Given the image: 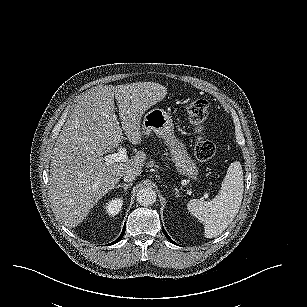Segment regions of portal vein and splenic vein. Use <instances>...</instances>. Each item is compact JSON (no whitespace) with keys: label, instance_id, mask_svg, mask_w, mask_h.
Masks as SVG:
<instances>
[{"label":"portal vein and splenic vein","instance_id":"portal-vein-and-splenic-vein-1","mask_svg":"<svg viewBox=\"0 0 307 307\" xmlns=\"http://www.w3.org/2000/svg\"><path fill=\"white\" fill-rule=\"evenodd\" d=\"M129 160L130 158L127 153V150L125 148H121L117 153L106 156L104 165H109L114 162H128ZM204 196H209L207 191L204 192Z\"/></svg>","mask_w":307,"mask_h":307}]
</instances>
